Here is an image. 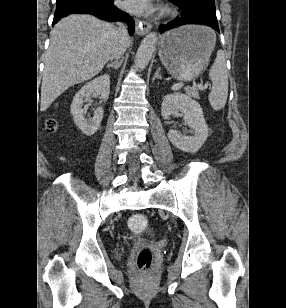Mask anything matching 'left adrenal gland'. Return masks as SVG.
<instances>
[{
  "label": "left adrenal gland",
  "instance_id": "left-adrenal-gland-1",
  "mask_svg": "<svg viewBox=\"0 0 286 308\" xmlns=\"http://www.w3.org/2000/svg\"><path fill=\"white\" fill-rule=\"evenodd\" d=\"M160 67L156 70V73L154 74V76H153V78H152V82H154L155 81V79H162V77H161V75L159 74V72H160Z\"/></svg>",
  "mask_w": 286,
  "mask_h": 308
}]
</instances>
